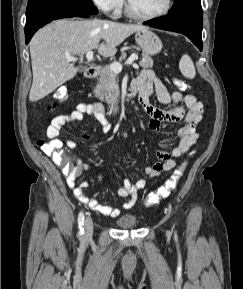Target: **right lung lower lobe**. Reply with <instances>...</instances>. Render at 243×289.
Masks as SVG:
<instances>
[{"label":"right lung lower lobe","instance_id":"right-lung-lower-lobe-1","mask_svg":"<svg viewBox=\"0 0 243 289\" xmlns=\"http://www.w3.org/2000/svg\"><path fill=\"white\" fill-rule=\"evenodd\" d=\"M94 13L96 9L91 0H29L25 26L26 44L40 27L52 20L87 18Z\"/></svg>","mask_w":243,"mask_h":289}]
</instances>
